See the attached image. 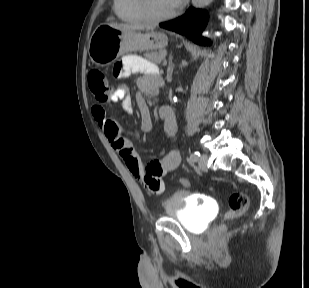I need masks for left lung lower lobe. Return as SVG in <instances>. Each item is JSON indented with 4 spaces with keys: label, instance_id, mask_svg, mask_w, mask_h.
Here are the masks:
<instances>
[{
    "label": "left lung lower lobe",
    "instance_id": "0a47b994",
    "mask_svg": "<svg viewBox=\"0 0 309 288\" xmlns=\"http://www.w3.org/2000/svg\"><path fill=\"white\" fill-rule=\"evenodd\" d=\"M207 19L205 11L189 8L183 16L168 22L160 23L159 26L186 35L197 44H209L208 40L201 36L206 26Z\"/></svg>",
    "mask_w": 309,
    "mask_h": 288
}]
</instances>
